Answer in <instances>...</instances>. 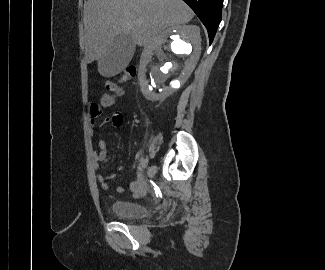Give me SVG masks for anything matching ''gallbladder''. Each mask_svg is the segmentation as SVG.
Listing matches in <instances>:
<instances>
[{
    "label": "gallbladder",
    "mask_w": 325,
    "mask_h": 270,
    "mask_svg": "<svg viewBox=\"0 0 325 270\" xmlns=\"http://www.w3.org/2000/svg\"><path fill=\"white\" fill-rule=\"evenodd\" d=\"M134 51L135 44L129 35L115 37L99 61V70L107 77L119 74L131 60Z\"/></svg>",
    "instance_id": "obj_1"
}]
</instances>
